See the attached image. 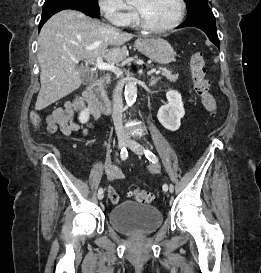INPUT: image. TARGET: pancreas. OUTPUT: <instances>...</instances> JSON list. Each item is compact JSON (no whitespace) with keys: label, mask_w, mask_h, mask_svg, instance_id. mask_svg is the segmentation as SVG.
Returning <instances> with one entry per match:
<instances>
[{"label":"pancreas","mask_w":261,"mask_h":273,"mask_svg":"<svg viewBox=\"0 0 261 273\" xmlns=\"http://www.w3.org/2000/svg\"><path fill=\"white\" fill-rule=\"evenodd\" d=\"M162 71V75L165 76L169 81L175 82L178 79V75L173 74L172 71L166 68H159Z\"/></svg>","instance_id":"obj_1"}]
</instances>
